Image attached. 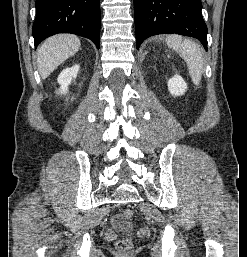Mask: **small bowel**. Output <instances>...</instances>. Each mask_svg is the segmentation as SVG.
I'll return each instance as SVG.
<instances>
[{
	"label": "small bowel",
	"mask_w": 247,
	"mask_h": 257,
	"mask_svg": "<svg viewBox=\"0 0 247 257\" xmlns=\"http://www.w3.org/2000/svg\"><path fill=\"white\" fill-rule=\"evenodd\" d=\"M113 225H114L115 229L118 231H124L126 229L123 219L119 215H115L113 217Z\"/></svg>",
	"instance_id": "small-bowel-1"
}]
</instances>
